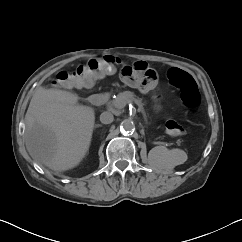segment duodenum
Masks as SVG:
<instances>
[{
    "label": "duodenum",
    "instance_id": "1",
    "mask_svg": "<svg viewBox=\"0 0 242 242\" xmlns=\"http://www.w3.org/2000/svg\"><path fill=\"white\" fill-rule=\"evenodd\" d=\"M105 99L106 96L104 94H92L89 97V102L93 105L99 106L104 102Z\"/></svg>",
    "mask_w": 242,
    "mask_h": 242
}]
</instances>
